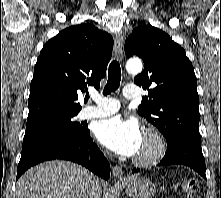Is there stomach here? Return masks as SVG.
<instances>
[{
  "mask_svg": "<svg viewBox=\"0 0 221 198\" xmlns=\"http://www.w3.org/2000/svg\"><path fill=\"white\" fill-rule=\"evenodd\" d=\"M120 186L131 198H153L157 192L155 184L142 177H129Z\"/></svg>",
  "mask_w": 221,
  "mask_h": 198,
  "instance_id": "0dacf381",
  "label": "stomach"
}]
</instances>
